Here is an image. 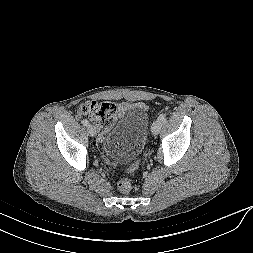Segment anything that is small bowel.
Returning a JSON list of instances; mask_svg holds the SVG:
<instances>
[{
  "label": "small bowel",
  "mask_w": 253,
  "mask_h": 253,
  "mask_svg": "<svg viewBox=\"0 0 253 253\" xmlns=\"http://www.w3.org/2000/svg\"><path fill=\"white\" fill-rule=\"evenodd\" d=\"M129 108H136L144 111L147 109L144 103H135V104L121 103L117 107V109H129Z\"/></svg>",
  "instance_id": "c3829d8e"
}]
</instances>
